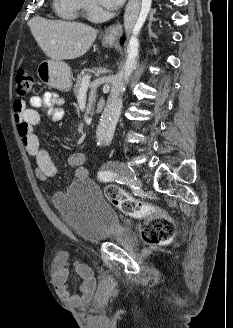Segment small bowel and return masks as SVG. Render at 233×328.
<instances>
[{"label": "small bowel", "instance_id": "1", "mask_svg": "<svg viewBox=\"0 0 233 328\" xmlns=\"http://www.w3.org/2000/svg\"><path fill=\"white\" fill-rule=\"evenodd\" d=\"M62 99L54 92H46L42 96H32L28 103L24 100H16L13 104V112L17 123L18 134L27 153L36 163L35 176L40 181H47L57 174L58 166L52 161L50 155L40 144L35 129L40 123L38 109L46 111L50 118L59 121L64 115L61 107ZM87 158L82 153L72 154L69 164L74 168V177L84 179L88 176L86 167ZM75 270L82 279L80 292L74 293L68 287L70 258L66 252L56 254L52 263V273L56 291L66 302L82 304L89 301L97 288L96 279L92 268L82 262L75 261Z\"/></svg>", "mask_w": 233, "mask_h": 328}]
</instances>
